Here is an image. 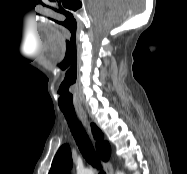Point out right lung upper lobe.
Instances as JSON below:
<instances>
[{
	"instance_id": "obj_1",
	"label": "right lung upper lobe",
	"mask_w": 187,
	"mask_h": 174,
	"mask_svg": "<svg viewBox=\"0 0 187 174\" xmlns=\"http://www.w3.org/2000/svg\"><path fill=\"white\" fill-rule=\"evenodd\" d=\"M91 126H92L94 136L98 140L97 142L98 153L104 161H107L110 156V147L107 142L102 141L103 134L101 133V131L94 124H92Z\"/></svg>"
}]
</instances>
